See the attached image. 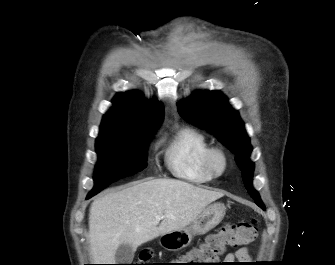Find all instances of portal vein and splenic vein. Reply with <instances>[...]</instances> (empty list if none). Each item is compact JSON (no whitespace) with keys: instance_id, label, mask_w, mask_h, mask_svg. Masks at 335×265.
I'll return each mask as SVG.
<instances>
[{"instance_id":"portal-vein-and-splenic-vein-1","label":"portal vein and splenic vein","mask_w":335,"mask_h":265,"mask_svg":"<svg viewBox=\"0 0 335 265\" xmlns=\"http://www.w3.org/2000/svg\"><path fill=\"white\" fill-rule=\"evenodd\" d=\"M155 218H156V222H159L163 217L160 215H157Z\"/></svg>"}]
</instances>
